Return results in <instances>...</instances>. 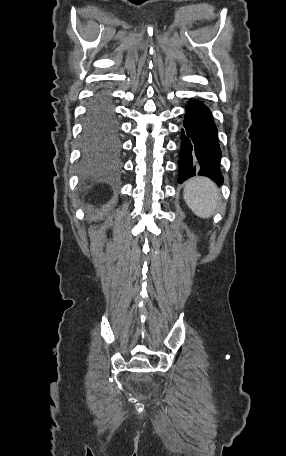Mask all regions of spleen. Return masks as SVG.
Listing matches in <instances>:
<instances>
[{
	"instance_id": "spleen-1",
	"label": "spleen",
	"mask_w": 286,
	"mask_h": 456,
	"mask_svg": "<svg viewBox=\"0 0 286 456\" xmlns=\"http://www.w3.org/2000/svg\"><path fill=\"white\" fill-rule=\"evenodd\" d=\"M184 200L198 217L208 219L220 206L221 196L216 184L209 178L195 177L185 184Z\"/></svg>"
}]
</instances>
